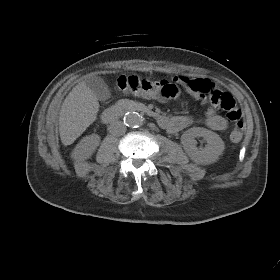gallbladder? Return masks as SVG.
Listing matches in <instances>:
<instances>
[{"label":"gallbladder","mask_w":280,"mask_h":280,"mask_svg":"<svg viewBox=\"0 0 280 280\" xmlns=\"http://www.w3.org/2000/svg\"><path fill=\"white\" fill-rule=\"evenodd\" d=\"M86 85L94 92L98 100L106 101L110 98V90L108 85L101 77H89L86 80Z\"/></svg>","instance_id":"bac80fb5"}]
</instances>
